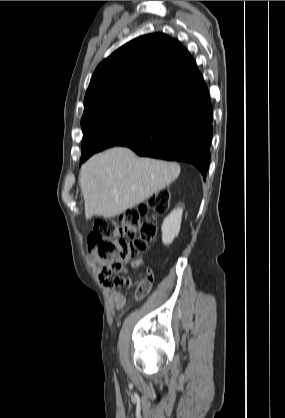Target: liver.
<instances>
[{
    "mask_svg": "<svg viewBox=\"0 0 285 418\" xmlns=\"http://www.w3.org/2000/svg\"><path fill=\"white\" fill-rule=\"evenodd\" d=\"M180 170L177 163L138 158L125 147L96 154L80 170L85 216L119 215L168 186Z\"/></svg>",
    "mask_w": 285,
    "mask_h": 418,
    "instance_id": "liver-1",
    "label": "liver"
}]
</instances>
